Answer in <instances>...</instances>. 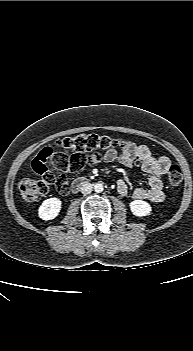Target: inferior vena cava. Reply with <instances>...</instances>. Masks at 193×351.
Returning <instances> with one entry per match:
<instances>
[{
    "label": "inferior vena cava",
    "instance_id": "obj_1",
    "mask_svg": "<svg viewBox=\"0 0 193 351\" xmlns=\"http://www.w3.org/2000/svg\"><path fill=\"white\" fill-rule=\"evenodd\" d=\"M93 190V185L91 183H84L81 186V193L82 194H90Z\"/></svg>",
    "mask_w": 193,
    "mask_h": 351
}]
</instances>
